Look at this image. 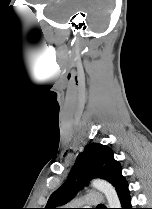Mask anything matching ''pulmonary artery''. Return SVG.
<instances>
[{
  "instance_id": "e3ab8cb5",
  "label": "pulmonary artery",
  "mask_w": 152,
  "mask_h": 209,
  "mask_svg": "<svg viewBox=\"0 0 152 209\" xmlns=\"http://www.w3.org/2000/svg\"><path fill=\"white\" fill-rule=\"evenodd\" d=\"M104 201L103 195L99 192H91L74 200L78 206H100Z\"/></svg>"
}]
</instances>
